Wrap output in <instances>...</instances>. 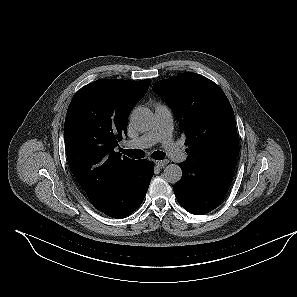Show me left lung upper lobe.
Returning <instances> with one entry per match:
<instances>
[{
	"instance_id": "1",
	"label": "left lung upper lobe",
	"mask_w": 297,
	"mask_h": 297,
	"mask_svg": "<svg viewBox=\"0 0 297 297\" xmlns=\"http://www.w3.org/2000/svg\"><path fill=\"white\" fill-rule=\"evenodd\" d=\"M173 110L187 137L183 163L198 173L234 170L238 135L233 109L222 89L196 73H182L152 88Z\"/></svg>"
}]
</instances>
